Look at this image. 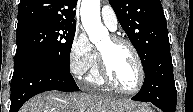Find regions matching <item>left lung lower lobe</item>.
<instances>
[{
	"mask_svg": "<svg viewBox=\"0 0 193 112\" xmlns=\"http://www.w3.org/2000/svg\"><path fill=\"white\" fill-rule=\"evenodd\" d=\"M144 72V83L140 91L131 99L151 102L163 112H175L177 91L169 45L161 48L153 56Z\"/></svg>",
	"mask_w": 193,
	"mask_h": 112,
	"instance_id": "obj_1",
	"label": "left lung lower lobe"
}]
</instances>
